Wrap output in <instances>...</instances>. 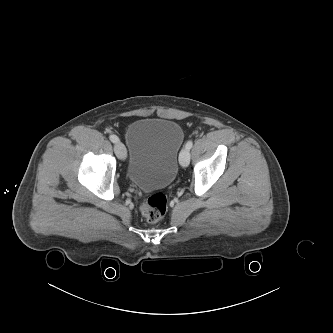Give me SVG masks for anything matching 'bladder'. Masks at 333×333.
<instances>
[{"instance_id":"31cf9c89","label":"bladder","mask_w":333,"mask_h":333,"mask_svg":"<svg viewBox=\"0 0 333 333\" xmlns=\"http://www.w3.org/2000/svg\"><path fill=\"white\" fill-rule=\"evenodd\" d=\"M129 155L126 173L143 190L169 186L178 170V153L184 141L182 126L168 119H139L126 134Z\"/></svg>"}]
</instances>
